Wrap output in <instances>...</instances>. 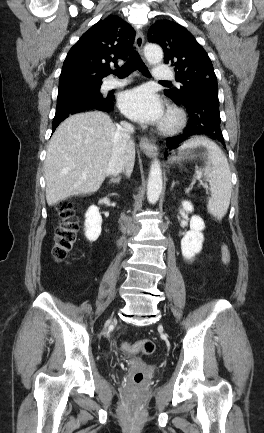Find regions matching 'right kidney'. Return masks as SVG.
Listing matches in <instances>:
<instances>
[{"label": "right kidney", "instance_id": "1", "mask_svg": "<svg viewBox=\"0 0 264 433\" xmlns=\"http://www.w3.org/2000/svg\"><path fill=\"white\" fill-rule=\"evenodd\" d=\"M102 217L97 206L92 205L85 214V236L89 241H96L101 234Z\"/></svg>", "mask_w": 264, "mask_h": 433}]
</instances>
